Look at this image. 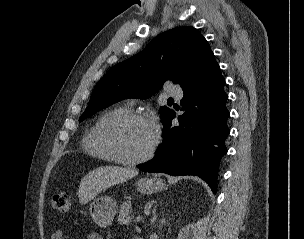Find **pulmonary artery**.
Instances as JSON below:
<instances>
[{
  "label": "pulmonary artery",
  "mask_w": 304,
  "mask_h": 239,
  "mask_svg": "<svg viewBox=\"0 0 304 239\" xmlns=\"http://www.w3.org/2000/svg\"><path fill=\"white\" fill-rule=\"evenodd\" d=\"M168 93L170 96L175 97V98H180L183 95V91L175 86H172L169 88Z\"/></svg>",
  "instance_id": "e3ab8cb5"
}]
</instances>
